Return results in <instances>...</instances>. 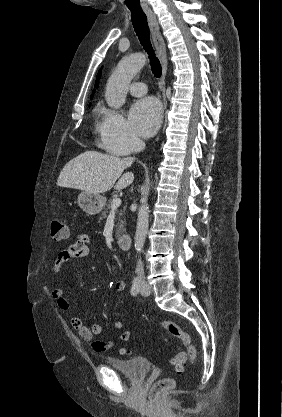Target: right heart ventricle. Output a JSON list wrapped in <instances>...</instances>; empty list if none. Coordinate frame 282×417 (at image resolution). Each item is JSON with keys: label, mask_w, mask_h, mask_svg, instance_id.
I'll use <instances>...</instances> for the list:
<instances>
[{"label": "right heart ventricle", "mask_w": 282, "mask_h": 417, "mask_svg": "<svg viewBox=\"0 0 282 417\" xmlns=\"http://www.w3.org/2000/svg\"><path fill=\"white\" fill-rule=\"evenodd\" d=\"M95 112L98 118L97 129L99 130L109 112L101 106L97 107Z\"/></svg>", "instance_id": "e07e8e85"}]
</instances>
